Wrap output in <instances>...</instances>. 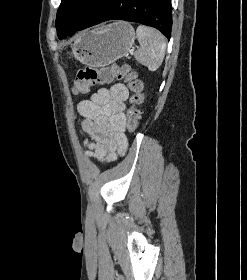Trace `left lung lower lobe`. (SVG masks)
<instances>
[{
  "label": "left lung lower lobe",
  "instance_id": "0a47b994",
  "mask_svg": "<svg viewBox=\"0 0 247 280\" xmlns=\"http://www.w3.org/2000/svg\"><path fill=\"white\" fill-rule=\"evenodd\" d=\"M171 9V0H103L78 28L66 32L63 38L101 22L120 19L155 27L170 39Z\"/></svg>",
  "mask_w": 247,
  "mask_h": 280
}]
</instances>
